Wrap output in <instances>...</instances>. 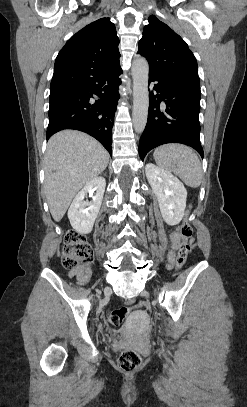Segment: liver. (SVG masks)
<instances>
[{
	"instance_id": "obj_1",
	"label": "liver",
	"mask_w": 247,
	"mask_h": 407,
	"mask_svg": "<svg viewBox=\"0 0 247 407\" xmlns=\"http://www.w3.org/2000/svg\"><path fill=\"white\" fill-rule=\"evenodd\" d=\"M108 162L105 148L80 131L64 130L49 139L44 157V190L56 222L63 218L77 192L97 178Z\"/></svg>"
}]
</instances>
